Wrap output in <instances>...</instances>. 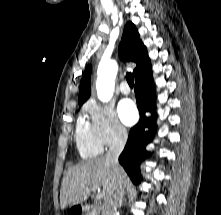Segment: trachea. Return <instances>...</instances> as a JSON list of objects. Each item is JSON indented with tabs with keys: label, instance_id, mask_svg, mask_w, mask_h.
<instances>
[{
	"label": "trachea",
	"instance_id": "obj_1",
	"mask_svg": "<svg viewBox=\"0 0 221 215\" xmlns=\"http://www.w3.org/2000/svg\"><path fill=\"white\" fill-rule=\"evenodd\" d=\"M126 80H127V82H128L130 87L134 86V76H133V74L131 72H128L126 74Z\"/></svg>",
	"mask_w": 221,
	"mask_h": 215
}]
</instances>
